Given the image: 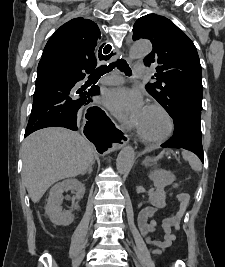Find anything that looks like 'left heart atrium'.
<instances>
[{"label": "left heart atrium", "mask_w": 225, "mask_h": 267, "mask_svg": "<svg viewBox=\"0 0 225 267\" xmlns=\"http://www.w3.org/2000/svg\"><path fill=\"white\" fill-rule=\"evenodd\" d=\"M105 105L118 118L136 127L146 108L141 94L125 87L108 91L105 96Z\"/></svg>", "instance_id": "obj_1"}]
</instances>
